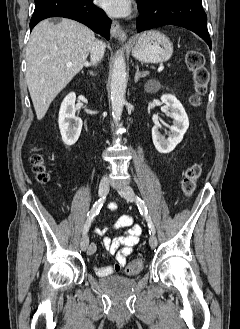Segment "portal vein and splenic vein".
Wrapping results in <instances>:
<instances>
[{"instance_id":"18ae733b","label":"portal vein and splenic vein","mask_w":240,"mask_h":329,"mask_svg":"<svg viewBox=\"0 0 240 329\" xmlns=\"http://www.w3.org/2000/svg\"><path fill=\"white\" fill-rule=\"evenodd\" d=\"M68 67H71L72 65L71 64H68L67 65ZM164 69V65H160L159 68H158V72H162Z\"/></svg>"}]
</instances>
